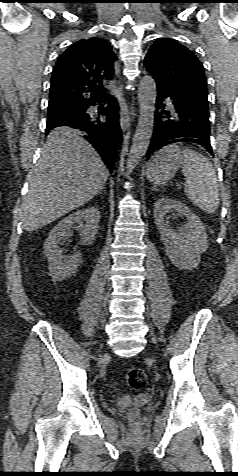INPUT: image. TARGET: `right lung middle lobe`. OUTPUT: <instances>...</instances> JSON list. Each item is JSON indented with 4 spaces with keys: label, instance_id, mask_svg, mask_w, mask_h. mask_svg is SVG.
<instances>
[{
    "label": "right lung middle lobe",
    "instance_id": "dd1d6c3e",
    "mask_svg": "<svg viewBox=\"0 0 238 476\" xmlns=\"http://www.w3.org/2000/svg\"><path fill=\"white\" fill-rule=\"evenodd\" d=\"M87 108L75 107V106H53L48 107L47 123L58 124L66 122L75 117L86 113Z\"/></svg>",
    "mask_w": 238,
    "mask_h": 476
}]
</instances>
